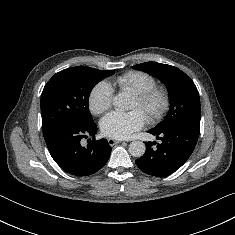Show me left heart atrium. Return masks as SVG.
Returning a JSON list of instances; mask_svg holds the SVG:
<instances>
[{"label":"left heart atrium","instance_id":"39dd6f15","mask_svg":"<svg viewBox=\"0 0 235 235\" xmlns=\"http://www.w3.org/2000/svg\"><path fill=\"white\" fill-rule=\"evenodd\" d=\"M147 121V116L140 109L129 112L113 111L100 122L104 135L115 139H127L140 130Z\"/></svg>","mask_w":235,"mask_h":235}]
</instances>
